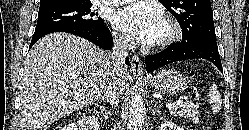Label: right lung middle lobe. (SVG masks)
I'll return each instance as SVG.
<instances>
[{"label": "right lung middle lobe", "instance_id": "1", "mask_svg": "<svg viewBox=\"0 0 249 130\" xmlns=\"http://www.w3.org/2000/svg\"><path fill=\"white\" fill-rule=\"evenodd\" d=\"M91 6L90 0H77L65 4L40 7L35 31L66 25L93 28L104 25V20L100 17L96 18L98 14L91 11Z\"/></svg>", "mask_w": 249, "mask_h": 130}]
</instances>
